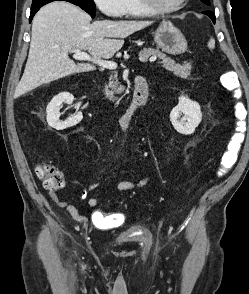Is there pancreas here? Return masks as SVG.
I'll return each instance as SVG.
<instances>
[{
    "instance_id": "cf45deb5",
    "label": "pancreas",
    "mask_w": 249,
    "mask_h": 294,
    "mask_svg": "<svg viewBox=\"0 0 249 294\" xmlns=\"http://www.w3.org/2000/svg\"><path fill=\"white\" fill-rule=\"evenodd\" d=\"M139 56L148 57V56H156L158 57L162 63V66L171 71L174 75L181 78H187L191 73V62H184L183 65L175 63L174 60L167 57L164 53L159 51L158 49L153 48H144L140 51ZM108 87L111 89L109 90ZM123 91V87L120 85L116 74L111 75L109 78V84L105 87V95L113 100L116 93H120Z\"/></svg>"
}]
</instances>
